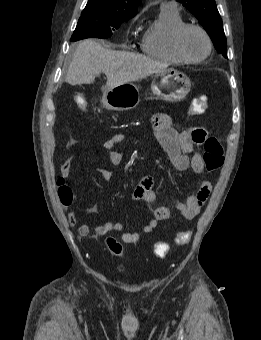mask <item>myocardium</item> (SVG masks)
I'll use <instances>...</instances> for the list:
<instances>
[{"instance_id": "myocardium-1", "label": "myocardium", "mask_w": 261, "mask_h": 340, "mask_svg": "<svg viewBox=\"0 0 261 340\" xmlns=\"http://www.w3.org/2000/svg\"><path fill=\"white\" fill-rule=\"evenodd\" d=\"M189 29H196V30L200 31L206 39L207 51H206L205 55L203 57L199 58V59L189 58L182 50L181 40H182L184 33ZM173 48H174L175 52L177 53V55L181 59H183L186 63L198 64V63L205 61L210 56L212 49H213V44H212V40L210 38V35L208 34V32L202 26L195 24V23H184L175 31V33L173 35Z\"/></svg>"}]
</instances>
